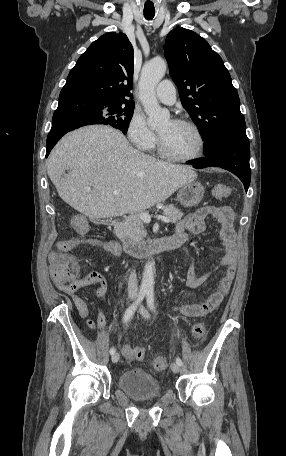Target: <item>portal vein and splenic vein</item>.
I'll use <instances>...</instances> for the list:
<instances>
[{
  "label": "portal vein and splenic vein",
  "instance_id": "portal-vein-and-splenic-vein-1",
  "mask_svg": "<svg viewBox=\"0 0 286 456\" xmlns=\"http://www.w3.org/2000/svg\"><path fill=\"white\" fill-rule=\"evenodd\" d=\"M87 191H90V188H87ZM139 217H140V219H142L144 222L149 223V222L151 221V217H152V216L149 215V214L146 213V212H142V213L139 214ZM156 218H157L158 220H161V221L165 222V223H169V222H170V219H169L168 217L156 216Z\"/></svg>",
  "mask_w": 286,
  "mask_h": 456
}]
</instances>
